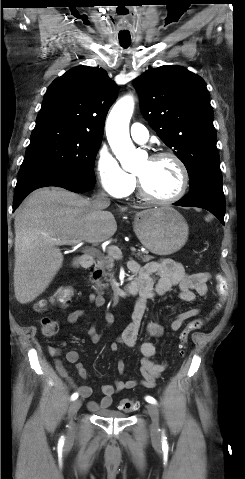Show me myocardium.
<instances>
[{
	"label": "myocardium",
	"mask_w": 245,
	"mask_h": 479,
	"mask_svg": "<svg viewBox=\"0 0 245 479\" xmlns=\"http://www.w3.org/2000/svg\"><path fill=\"white\" fill-rule=\"evenodd\" d=\"M162 158L172 159L177 164V166L179 167L180 174H181V181H180V186H179V189L177 190V192L169 198H165V199L156 198V197L152 196L146 190L143 179L138 174H135L136 189H137L138 195L143 200H145L149 203H152V204L168 205V204H172V203L178 201L180 198H182L184 196V194H185V192L188 188V185H189V172H188L186 164L180 158V156H178L176 153H174L172 151H167V150L159 151V152H155V153H153L149 156V159L151 161L159 160V159H162Z\"/></svg>",
	"instance_id": "1"
}]
</instances>
